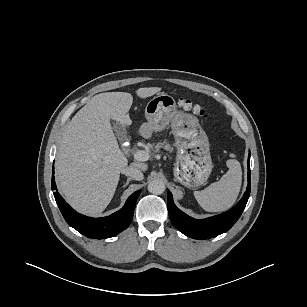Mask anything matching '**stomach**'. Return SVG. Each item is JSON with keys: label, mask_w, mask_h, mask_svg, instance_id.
Returning <instances> with one entry per match:
<instances>
[{"label": "stomach", "mask_w": 307, "mask_h": 307, "mask_svg": "<svg viewBox=\"0 0 307 307\" xmlns=\"http://www.w3.org/2000/svg\"><path fill=\"white\" fill-rule=\"evenodd\" d=\"M145 117L147 122L139 129V133L145 138L171 124L178 150L174 169L176 180L187 188L203 185L209 178L213 165L209 141L198 119L191 114L177 111L174 98L163 93L148 102Z\"/></svg>", "instance_id": "1"}]
</instances>
